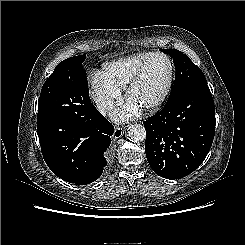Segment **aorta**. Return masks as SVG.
<instances>
[{
  "label": "aorta",
  "mask_w": 245,
  "mask_h": 245,
  "mask_svg": "<svg viewBox=\"0 0 245 245\" xmlns=\"http://www.w3.org/2000/svg\"><path fill=\"white\" fill-rule=\"evenodd\" d=\"M128 139L132 142H141L145 140L146 131L141 124H131L127 129Z\"/></svg>",
  "instance_id": "1"
}]
</instances>
